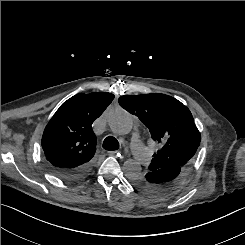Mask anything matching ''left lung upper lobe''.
Here are the masks:
<instances>
[{
  "label": "left lung upper lobe",
  "instance_id": "obj_1",
  "mask_svg": "<svg viewBox=\"0 0 245 245\" xmlns=\"http://www.w3.org/2000/svg\"><path fill=\"white\" fill-rule=\"evenodd\" d=\"M118 101L122 108L136 115L149 129L152 139L160 143L161 148L153 155L148 172L168 166L186 171L201 142L190 110L177 99L161 93L124 95ZM133 184L153 195L148 173L135 178Z\"/></svg>",
  "mask_w": 245,
  "mask_h": 245
}]
</instances>
